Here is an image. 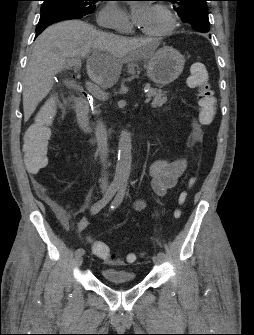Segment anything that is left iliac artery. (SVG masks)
Instances as JSON below:
<instances>
[{
    "label": "left iliac artery",
    "instance_id": "44dca946",
    "mask_svg": "<svg viewBox=\"0 0 254 335\" xmlns=\"http://www.w3.org/2000/svg\"><path fill=\"white\" fill-rule=\"evenodd\" d=\"M125 192H126V184L122 183L119 185L118 187V193L116 195V197L114 198V200L112 201L111 205H110V209L113 211L115 210L123 201V198L125 196ZM157 255L161 258L165 257V253L162 250H159L157 252Z\"/></svg>",
    "mask_w": 254,
    "mask_h": 335
}]
</instances>
